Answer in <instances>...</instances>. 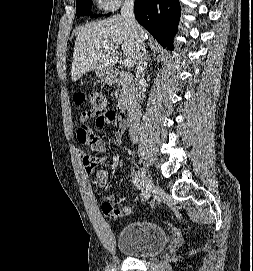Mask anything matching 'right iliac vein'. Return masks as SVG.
<instances>
[{
  "label": "right iliac vein",
  "mask_w": 253,
  "mask_h": 271,
  "mask_svg": "<svg viewBox=\"0 0 253 271\" xmlns=\"http://www.w3.org/2000/svg\"><path fill=\"white\" fill-rule=\"evenodd\" d=\"M140 178L143 184L144 198L149 199L151 192L155 189L153 179L145 168L140 169Z\"/></svg>",
  "instance_id": "obj_1"
}]
</instances>
